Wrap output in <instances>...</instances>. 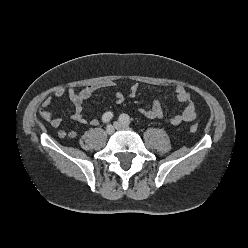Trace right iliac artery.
I'll use <instances>...</instances> for the list:
<instances>
[{
  "mask_svg": "<svg viewBox=\"0 0 248 248\" xmlns=\"http://www.w3.org/2000/svg\"><path fill=\"white\" fill-rule=\"evenodd\" d=\"M112 118H113V113L112 112H106L102 116V121L104 123H108Z\"/></svg>",
  "mask_w": 248,
  "mask_h": 248,
  "instance_id": "1",
  "label": "right iliac artery"
}]
</instances>
